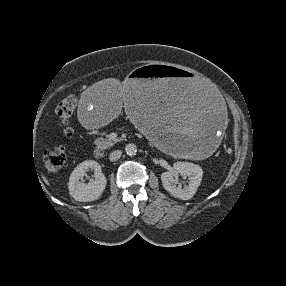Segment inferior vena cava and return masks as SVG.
Wrapping results in <instances>:
<instances>
[{
    "mask_svg": "<svg viewBox=\"0 0 286 286\" xmlns=\"http://www.w3.org/2000/svg\"><path fill=\"white\" fill-rule=\"evenodd\" d=\"M121 155H122L121 150H115V151L110 153L109 160L110 161H116L121 157Z\"/></svg>",
    "mask_w": 286,
    "mask_h": 286,
    "instance_id": "1",
    "label": "inferior vena cava"
}]
</instances>
